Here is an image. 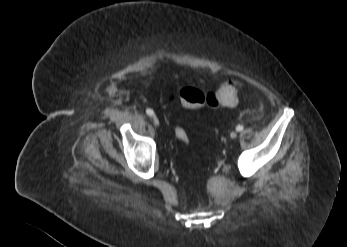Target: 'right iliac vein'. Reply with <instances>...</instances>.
<instances>
[{
    "label": "right iliac vein",
    "mask_w": 347,
    "mask_h": 247,
    "mask_svg": "<svg viewBox=\"0 0 347 247\" xmlns=\"http://www.w3.org/2000/svg\"><path fill=\"white\" fill-rule=\"evenodd\" d=\"M152 121H153V124L155 125V126H159V119L155 116V115H153V117H152Z\"/></svg>",
    "instance_id": "63e3f726"
}]
</instances>
